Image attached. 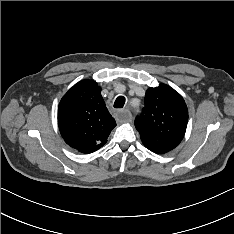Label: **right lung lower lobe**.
I'll return each instance as SVG.
<instances>
[{"label":"right lung lower lobe","mask_w":234,"mask_h":234,"mask_svg":"<svg viewBox=\"0 0 234 234\" xmlns=\"http://www.w3.org/2000/svg\"><path fill=\"white\" fill-rule=\"evenodd\" d=\"M98 149H99V148H98ZM98 149L93 148V149L82 150V151H80V152H82V153H91V152H94V151H96V150H98Z\"/></svg>","instance_id":"98d812e1"}]
</instances>
